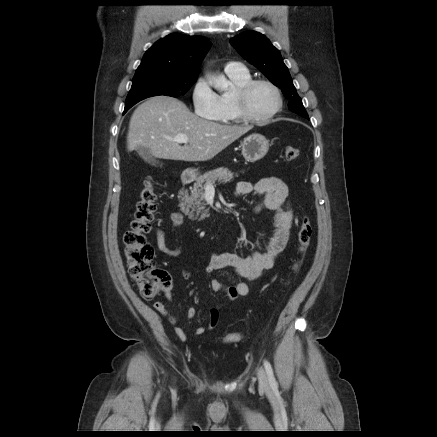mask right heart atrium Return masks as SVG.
Listing matches in <instances>:
<instances>
[{"mask_svg": "<svg viewBox=\"0 0 437 437\" xmlns=\"http://www.w3.org/2000/svg\"><path fill=\"white\" fill-rule=\"evenodd\" d=\"M191 99L196 115L210 120H215L218 117L220 113L218 95L204 79H199L195 83Z\"/></svg>", "mask_w": 437, "mask_h": 437, "instance_id": "right-heart-atrium-1", "label": "right heart atrium"}]
</instances>
